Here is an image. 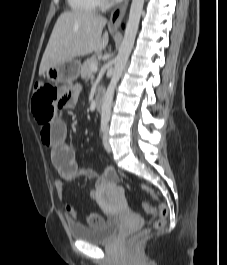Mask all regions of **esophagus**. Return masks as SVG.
I'll list each match as a JSON object with an SVG mask.
<instances>
[{"label": "esophagus", "instance_id": "34e87169", "mask_svg": "<svg viewBox=\"0 0 227 265\" xmlns=\"http://www.w3.org/2000/svg\"><path fill=\"white\" fill-rule=\"evenodd\" d=\"M128 5H129V0H125L120 6H118L116 9L112 11L108 23L110 28L117 29L120 26L127 12Z\"/></svg>", "mask_w": 227, "mask_h": 265}]
</instances>
